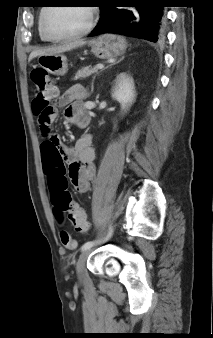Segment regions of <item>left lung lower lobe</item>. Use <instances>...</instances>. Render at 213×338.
Here are the masks:
<instances>
[{
    "instance_id": "obj_1",
    "label": "left lung lower lobe",
    "mask_w": 213,
    "mask_h": 338,
    "mask_svg": "<svg viewBox=\"0 0 213 338\" xmlns=\"http://www.w3.org/2000/svg\"><path fill=\"white\" fill-rule=\"evenodd\" d=\"M99 7L100 21L89 37L115 33L154 43L164 41L166 16L163 0H102Z\"/></svg>"
}]
</instances>
